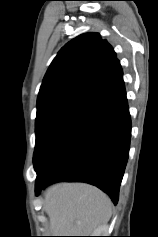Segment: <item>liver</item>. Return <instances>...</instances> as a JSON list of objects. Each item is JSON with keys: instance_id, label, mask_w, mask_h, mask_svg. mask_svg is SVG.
I'll return each mask as SVG.
<instances>
[{"instance_id": "liver-1", "label": "liver", "mask_w": 158, "mask_h": 237, "mask_svg": "<svg viewBox=\"0 0 158 237\" xmlns=\"http://www.w3.org/2000/svg\"><path fill=\"white\" fill-rule=\"evenodd\" d=\"M44 209L52 236H89L112 215L109 197L83 183H61L44 192Z\"/></svg>"}]
</instances>
